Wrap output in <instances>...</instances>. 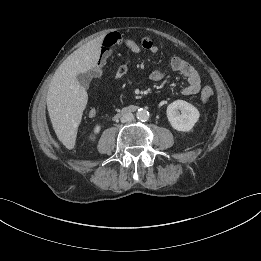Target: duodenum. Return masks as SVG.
<instances>
[{
  "mask_svg": "<svg viewBox=\"0 0 261 261\" xmlns=\"http://www.w3.org/2000/svg\"><path fill=\"white\" fill-rule=\"evenodd\" d=\"M137 108L135 106H131V107H127V108H124L123 109V113H126V112H133L135 111Z\"/></svg>",
  "mask_w": 261,
  "mask_h": 261,
  "instance_id": "duodenum-1",
  "label": "duodenum"
}]
</instances>
